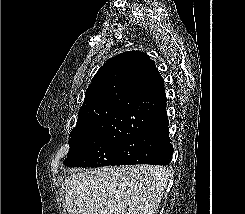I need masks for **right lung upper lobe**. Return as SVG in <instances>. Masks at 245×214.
Wrapping results in <instances>:
<instances>
[{
    "instance_id": "cb5924a9",
    "label": "right lung upper lobe",
    "mask_w": 245,
    "mask_h": 214,
    "mask_svg": "<svg viewBox=\"0 0 245 214\" xmlns=\"http://www.w3.org/2000/svg\"><path fill=\"white\" fill-rule=\"evenodd\" d=\"M163 87L155 62L144 52L133 50L109 58L91 80L71 133L131 127L140 114V98Z\"/></svg>"
}]
</instances>
